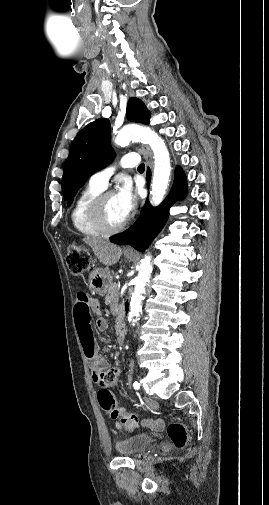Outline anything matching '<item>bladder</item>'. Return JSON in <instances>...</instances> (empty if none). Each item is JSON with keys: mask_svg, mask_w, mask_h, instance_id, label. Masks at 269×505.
Listing matches in <instances>:
<instances>
[{"mask_svg": "<svg viewBox=\"0 0 269 505\" xmlns=\"http://www.w3.org/2000/svg\"><path fill=\"white\" fill-rule=\"evenodd\" d=\"M154 438L148 434H138L116 443V451L121 456H138L154 444Z\"/></svg>", "mask_w": 269, "mask_h": 505, "instance_id": "31cf9c89", "label": "bladder"}]
</instances>
